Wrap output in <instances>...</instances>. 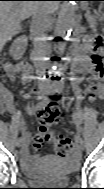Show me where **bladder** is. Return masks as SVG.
Segmentation results:
<instances>
[{"mask_svg":"<svg viewBox=\"0 0 104 189\" xmlns=\"http://www.w3.org/2000/svg\"><path fill=\"white\" fill-rule=\"evenodd\" d=\"M78 168L76 162L59 156H50L33 168L22 169V173L33 184L63 186L70 182L71 175Z\"/></svg>","mask_w":104,"mask_h":189,"instance_id":"bladder-1","label":"bladder"}]
</instances>
